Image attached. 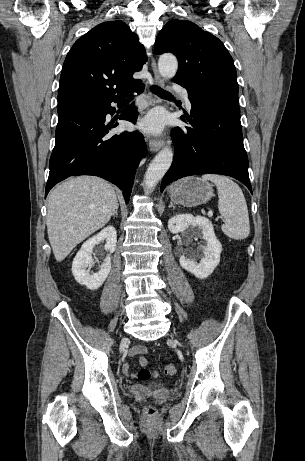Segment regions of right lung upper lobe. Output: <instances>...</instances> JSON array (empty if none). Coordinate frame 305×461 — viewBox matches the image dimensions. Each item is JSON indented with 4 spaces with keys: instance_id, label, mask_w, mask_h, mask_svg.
Listing matches in <instances>:
<instances>
[{
    "instance_id": "right-lung-upper-lobe-1",
    "label": "right lung upper lobe",
    "mask_w": 305,
    "mask_h": 461,
    "mask_svg": "<svg viewBox=\"0 0 305 461\" xmlns=\"http://www.w3.org/2000/svg\"><path fill=\"white\" fill-rule=\"evenodd\" d=\"M138 37L122 21L104 22L79 38L64 61L58 108L109 100L141 84L132 74L146 62Z\"/></svg>"
}]
</instances>
